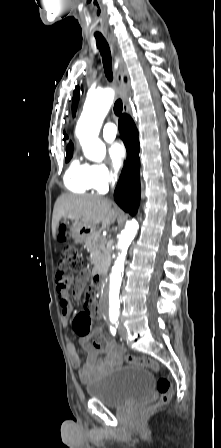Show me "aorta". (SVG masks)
<instances>
[{
  "label": "aorta",
  "instance_id": "1",
  "mask_svg": "<svg viewBox=\"0 0 221 448\" xmlns=\"http://www.w3.org/2000/svg\"><path fill=\"white\" fill-rule=\"evenodd\" d=\"M113 99L114 91L111 88L88 95L76 125L75 133L84 155L94 162H101L106 156V147L98 139V134ZM138 227V222L132 219L126 223L125 229L118 236L116 248L119 250V255L112 268L109 285L105 289V294L109 299V314L117 315L119 313V293L125 258L129 244L134 239Z\"/></svg>",
  "mask_w": 221,
  "mask_h": 448
}]
</instances>
